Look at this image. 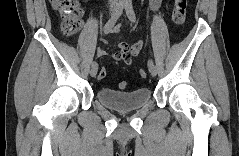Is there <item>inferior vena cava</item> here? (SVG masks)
<instances>
[{"label": "inferior vena cava", "mask_w": 239, "mask_h": 156, "mask_svg": "<svg viewBox=\"0 0 239 156\" xmlns=\"http://www.w3.org/2000/svg\"><path fill=\"white\" fill-rule=\"evenodd\" d=\"M111 1L114 2V3L117 2L116 0H111Z\"/></svg>", "instance_id": "602c4592"}]
</instances>
